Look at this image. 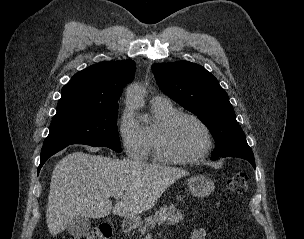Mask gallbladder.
Returning <instances> with one entry per match:
<instances>
[{"label":"gallbladder","mask_w":304,"mask_h":239,"mask_svg":"<svg viewBox=\"0 0 304 239\" xmlns=\"http://www.w3.org/2000/svg\"><path fill=\"white\" fill-rule=\"evenodd\" d=\"M91 221L86 217L74 218L66 227L69 234L73 236H82L89 231Z\"/></svg>","instance_id":"bac80fb5"}]
</instances>
